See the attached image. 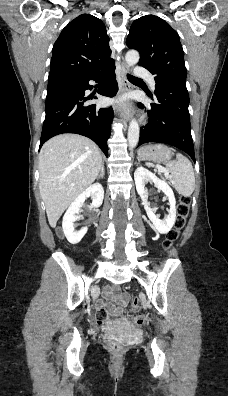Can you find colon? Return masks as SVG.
<instances>
[{"label":"colon","mask_w":228,"mask_h":396,"mask_svg":"<svg viewBox=\"0 0 228 396\" xmlns=\"http://www.w3.org/2000/svg\"><path fill=\"white\" fill-rule=\"evenodd\" d=\"M190 210V198L183 196L180 198V202L177 207V218L175 221L174 228L167 234V238L164 242V247L170 249L180 238L181 231L184 229L187 223V218ZM131 312L133 313L134 322L138 327L144 326V316L141 313V304L134 300L130 305ZM104 314L100 311L99 319L103 318ZM108 346L112 351L120 352L123 345L116 339H111L108 342Z\"/></svg>","instance_id":"obj_1"}]
</instances>
